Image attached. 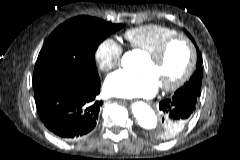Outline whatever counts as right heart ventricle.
I'll return each mask as SVG.
<instances>
[{"label": "right heart ventricle", "instance_id": "obj_1", "mask_svg": "<svg viewBox=\"0 0 240 160\" xmlns=\"http://www.w3.org/2000/svg\"><path fill=\"white\" fill-rule=\"evenodd\" d=\"M177 34L178 32L171 27L159 24H148L127 30L124 37L133 49L151 53L156 50L165 39Z\"/></svg>", "mask_w": 240, "mask_h": 160}]
</instances>
